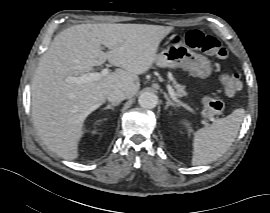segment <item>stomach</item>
I'll return each instance as SVG.
<instances>
[{
    "label": "stomach",
    "instance_id": "1",
    "mask_svg": "<svg viewBox=\"0 0 270 213\" xmlns=\"http://www.w3.org/2000/svg\"><path fill=\"white\" fill-rule=\"evenodd\" d=\"M155 63L160 67L183 68L202 80L209 78L212 73L210 60L202 54L193 52L181 41L169 45L158 54Z\"/></svg>",
    "mask_w": 270,
    "mask_h": 213
}]
</instances>
